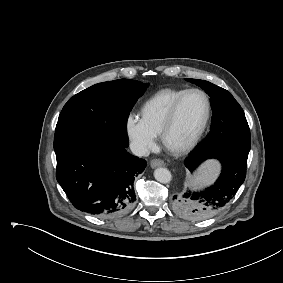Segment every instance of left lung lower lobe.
Returning a JSON list of instances; mask_svg holds the SVG:
<instances>
[{
	"label": "left lung lower lobe",
	"mask_w": 283,
	"mask_h": 283,
	"mask_svg": "<svg viewBox=\"0 0 283 283\" xmlns=\"http://www.w3.org/2000/svg\"><path fill=\"white\" fill-rule=\"evenodd\" d=\"M248 153L231 148H216L193 151L185 159V166L193 172L206 159H217L222 171L214 185L204 191H188L178 198L174 208L186 219H207L218 213L234 196L246 177Z\"/></svg>",
	"instance_id": "obj_1"
}]
</instances>
